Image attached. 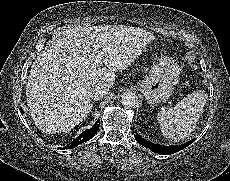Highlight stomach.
Segmentation results:
<instances>
[{
    "label": "stomach",
    "mask_w": 230,
    "mask_h": 181,
    "mask_svg": "<svg viewBox=\"0 0 230 181\" xmlns=\"http://www.w3.org/2000/svg\"><path fill=\"white\" fill-rule=\"evenodd\" d=\"M178 75L175 61L164 56L153 66L149 76L138 84V88L150 105H157L169 99Z\"/></svg>",
    "instance_id": "1"
}]
</instances>
